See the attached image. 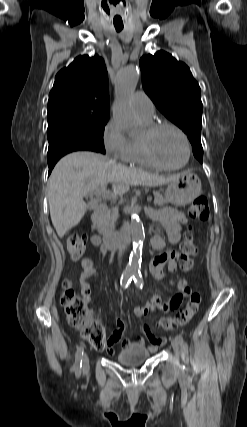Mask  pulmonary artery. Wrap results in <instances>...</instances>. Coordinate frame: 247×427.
Masks as SVG:
<instances>
[{
    "instance_id": "obj_1",
    "label": "pulmonary artery",
    "mask_w": 247,
    "mask_h": 427,
    "mask_svg": "<svg viewBox=\"0 0 247 427\" xmlns=\"http://www.w3.org/2000/svg\"><path fill=\"white\" fill-rule=\"evenodd\" d=\"M132 106L138 117L142 120H151L155 107L152 100L144 91H136L132 97Z\"/></svg>"
}]
</instances>
